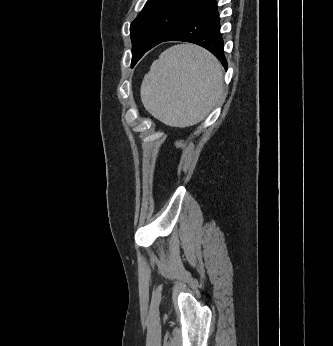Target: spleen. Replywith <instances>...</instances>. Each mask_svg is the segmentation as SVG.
<instances>
[{
	"label": "spleen",
	"mask_w": 333,
	"mask_h": 346,
	"mask_svg": "<svg viewBox=\"0 0 333 346\" xmlns=\"http://www.w3.org/2000/svg\"><path fill=\"white\" fill-rule=\"evenodd\" d=\"M223 88L221 64L211 53L196 45H175L152 63L141 100L161 121L188 127L208 115Z\"/></svg>",
	"instance_id": "obj_1"
}]
</instances>
